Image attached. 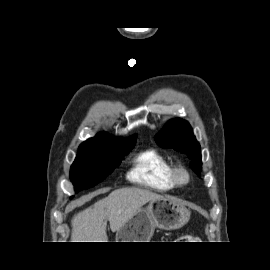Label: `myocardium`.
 <instances>
[{
	"label": "myocardium",
	"instance_id": "myocardium-1",
	"mask_svg": "<svg viewBox=\"0 0 270 270\" xmlns=\"http://www.w3.org/2000/svg\"><path fill=\"white\" fill-rule=\"evenodd\" d=\"M172 179L175 185L185 186L190 181V173L184 166L175 165L172 168Z\"/></svg>",
	"mask_w": 270,
	"mask_h": 270
}]
</instances>
